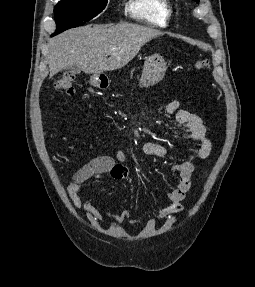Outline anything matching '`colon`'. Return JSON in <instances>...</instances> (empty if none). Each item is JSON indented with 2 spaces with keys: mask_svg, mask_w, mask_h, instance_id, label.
Returning <instances> with one entry per match:
<instances>
[{
  "mask_svg": "<svg viewBox=\"0 0 255 287\" xmlns=\"http://www.w3.org/2000/svg\"><path fill=\"white\" fill-rule=\"evenodd\" d=\"M194 66L196 70H206L209 68V62L206 59H198ZM55 87L64 94L73 95L75 93L73 74H63L62 77L56 81Z\"/></svg>",
  "mask_w": 255,
  "mask_h": 287,
  "instance_id": "1",
  "label": "colon"
}]
</instances>
